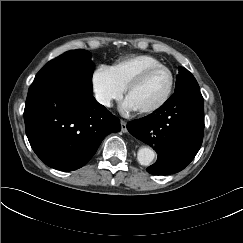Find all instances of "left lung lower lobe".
<instances>
[{"label":"left lung lower lobe","mask_w":243,"mask_h":243,"mask_svg":"<svg viewBox=\"0 0 243 243\" xmlns=\"http://www.w3.org/2000/svg\"><path fill=\"white\" fill-rule=\"evenodd\" d=\"M137 139L155 148L157 162L147 168L154 175L183 170L203 140L204 102L199 88L176 91L159 109L127 124Z\"/></svg>","instance_id":"left-lung-lower-lobe-1"}]
</instances>
